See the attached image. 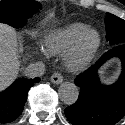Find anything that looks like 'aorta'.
<instances>
[{"label":"aorta","instance_id":"762f6f07","mask_svg":"<svg viewBox=\"0 0 125 125\" xmlns=\"http://www.w3.org/2000/svg\"><path fill=\"white\" fill-rule=\"evenodd\" d=\"M59 97L65 104H74L79 95L78 87L74 83H62L58 89Z\"/></svg>","mask_w":125,"mask_h":125}]
</instances>
